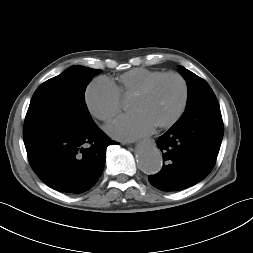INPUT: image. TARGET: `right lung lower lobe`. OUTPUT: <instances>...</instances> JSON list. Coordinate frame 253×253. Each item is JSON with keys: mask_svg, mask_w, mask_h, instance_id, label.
<instances>
[{"mask_svg": "<svg viewBox=\"0 0 253 253\" xmlns=\"http://www.w3.org/2000/svg\"><path fill=\"white\" fill-rule=\"evenodd\" d=\"M111 144L115 142L93 123L51 132L25 147L32 169L46 185L77 194L97 182Z\"/></svg>", "mask_w": 253, "mask_h": 253, "instance_id": "obj_1", "label": "right lung lower lobe"}]
</instances>
